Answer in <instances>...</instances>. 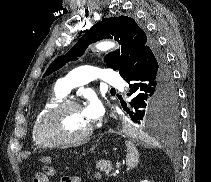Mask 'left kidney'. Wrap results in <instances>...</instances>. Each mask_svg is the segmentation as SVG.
Returning a JSON list of instances; mask_svg holds the SVG:
<instances>
[{
	"instance_id": "obj_1",
	"label": "left kidney",
	"mask_w": 211,
	"mask_h": 182,
	"mask_svg": "<svg viewBox=\"0 0 211 182\" xmlns=\"http://www.w3.org/2000/svg\"><path fill=\"white\" fill-rule=\"evenodd\" d=\"M140 182H149L148 180H143V181H140Z\"/></svg>"
}]
</instances>
